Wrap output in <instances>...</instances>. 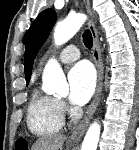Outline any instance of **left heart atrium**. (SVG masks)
<instances>
[{"label": "left heart atrium", "mask_w": 139, "mask_h": 150, "mask_svg": "<svg viewBox=\"0 0 139 150\" xmlns=\"http://www.w3.org/2000/svg\"><path fill=\"white\" fill-rule=\"evenodd\" d=\"M69 100L76 105L86 104L96 87V74L88 62H79L68 73Z\"/></svg>", "instance_id": "left-heart-atrium-1"}]
</instances>
